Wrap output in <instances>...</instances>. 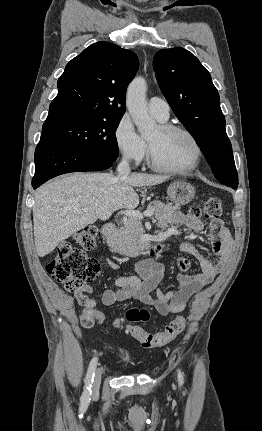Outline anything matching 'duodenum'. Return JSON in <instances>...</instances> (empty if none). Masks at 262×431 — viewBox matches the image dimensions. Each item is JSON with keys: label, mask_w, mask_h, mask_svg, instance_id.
I'll use <instances>...</instances> for the list:
<instances>
[{"label": "duodenum", "mask_w": 262, "mask_h": 431, "mask_svg": "<svg viewBox=\"0 0 262 431\" xmlns=\"http://www.w3.org/2000/svg\"><path fill=\"white\" fill-rule=\"evenodd\" d=\"M116 233H117V227L114 224L106 223L101 228L102 236L112 244H114L117 240Z\"/></svg>", "instance_id": "1"}]
</instances>
